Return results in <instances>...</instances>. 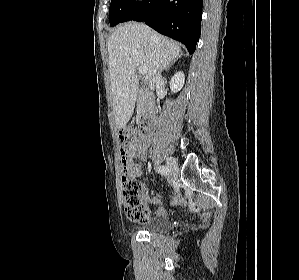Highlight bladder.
I'll list each match as a JSON object with an SVG mask.
<instances>
[{
	"mask_svg": "<svg viewBox=\"0 0 299 280\" xmlns=\"http://www.w3.org/2000/svg\"><path fill=\"white\" fill-rule=\"evenodd\" d=\"M169 228L170 223L165 217H155L147 223L144 230L153 234L166 232Z\"/></svg>",
	"mask_w": 299,
	"mask_h": 280,
	"instance_id": "bladder-1",
	"label": "bladder"
}]
</instances>
